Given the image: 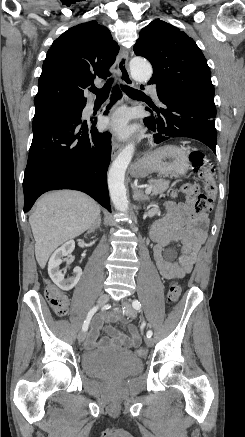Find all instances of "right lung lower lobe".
I'll list each match as a JSON object with an SVG mask.
<instances>
[{
	"label": "right lung lower lobe",
	"instance_id": "right-lung-lower-lobe-1",
	"mask_svg": "<svg viewBox=\"0 0 245 437\" xmlns=\"http://www.w3.org/2000/svg\"><path fill=\"white\" fill-rule=\"evenodd\" d=\"M120 97L115 87L107 109ZM81 114L53 118L33 130L23 180L25 212L41 194L57 189L85 192L111 212L106 175L111 135L98 132L96 120L82 121Z\"/></svg>",
	"mask_w": 245,
	"mask_h": 437
}]
</instances>
